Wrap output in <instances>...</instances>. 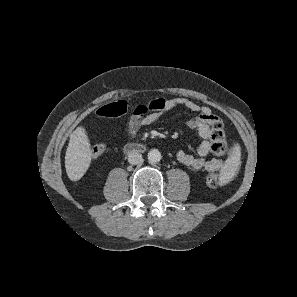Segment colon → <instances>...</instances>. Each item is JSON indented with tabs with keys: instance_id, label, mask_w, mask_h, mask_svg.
I'll list each match as a JSON object with an SVG mask.
<instances>
[{
	"instance_id": "5ec220e1",
	"label": "colon",
	"mask_w": 297,
	"mask_h": 297,
	"mask_svg": "<svg viewBox=\"0 0 297 297\" xmlns=\"http://www.w3.org/2000/svg\"><path fill=\"white\" fill-rule=\"evenodd\" d=\"M147 109L146 104L136 105L132 113L143 114ZM128 112V104L124 100L105 105L98 109L97 114L103 117H119ZM104 146L97 144L92 148V156L97 158L104 153ZM211 153L215 156H222L227 151V142L223 132V125L220 119H216L212 125L211 135ZM207 184L211 188H216L219 185V177L217 174H211L207 177Z\"/></svg>"
}]
</instances>
